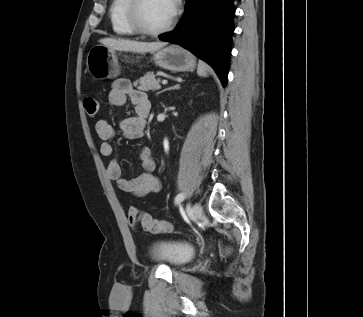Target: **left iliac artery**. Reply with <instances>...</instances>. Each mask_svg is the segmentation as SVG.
<instances>
[{"label": "left iliac artery", "instance_id": "44dca946", "mask_svg": "<svg viewBox=\"0 0 363 317\" xmlns=\"http://www.w3.org/2000/svg\"><path fill=\"white\" fill-rule=\"evenodd\" d=\"M184 198H185V194H184V193H180V194H178V195L176 196V198H175V203H176V204L181 203V202L184 200Z\"/></svg>", "mask_w": 363, "mask_h": 317}]
</instances>
